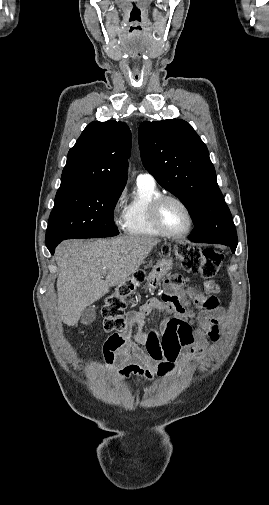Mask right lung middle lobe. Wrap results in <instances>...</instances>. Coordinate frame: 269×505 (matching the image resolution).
<instances>
[{"instance_id":"right-lung-middle-lobe-1","label":"right lung middle lobe","mask_w":269,"mask_h":505,"mask_svg":"<svg viewBox=\"0 0 269 505\" xmlns=\"http://www.w3.org/2000/svg\"><path fill=\"white\" fill-rule=\"evenodd\" d=\"M121 192L103 187L59 188L46 230V245L65 239L118 235L113 210Z\"/></svg>"}]
</instances>
